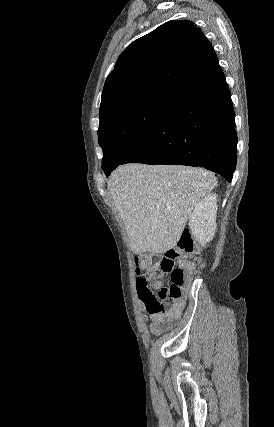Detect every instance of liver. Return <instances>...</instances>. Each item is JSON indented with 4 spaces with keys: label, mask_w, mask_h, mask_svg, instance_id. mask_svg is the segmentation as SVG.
<instances>
[{
    "label": "liver",
    "mask_w": 274,
    "mask_h": 427,
    "mask_svg": "<svg viewBox=\"0 0 274 427\" xmlns=\"http://www.w3.org/2000/svg\"><path fill=\"white\" fill-rule=\"evenodd\" d=\"M218 182L212 172L189 166H119L108 192L135 253H165L179 241L194 206Z\"/></svg>",
    "instance_id": "liver-1"
}]
</instances>
